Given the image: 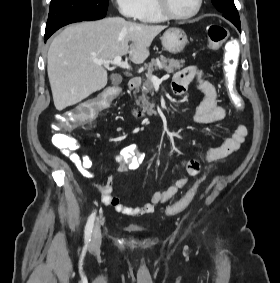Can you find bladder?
<instances>
[{
    "instance_id": "1",
    "label": "bladder",
    "mask_w": 280,
    "mask_h": 283,
    "mask_svg": "<svg viewBox=\"0 0 280 283\" xmlns=\"http://www.w3.org/2000/svg\"><path fill=\"white\" fill-rule=\"evenodd\" d=\"M127 228L134 232H140L143 230L140 226H136V225H131V226H128Z\"/></svg>"
}]
</instances>
